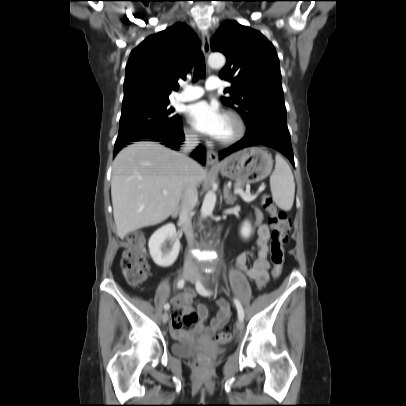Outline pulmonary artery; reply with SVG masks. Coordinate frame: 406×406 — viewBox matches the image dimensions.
<instances>
[{
  "mask_svg": "<svg viewBox=\"0 0 406 406\" xmlns=\"http://www.w3.org/2000/svg\"><path fill=\"white\" fill-rule=\"evenodd\" d=\"M206 89L216 90L221 88V81L218 77H210L205 84ZM204 94V89L200 86H188L181 93L176 95V100L180 102H190L199 99Z\"/></svg>",
  "mask_w": 406,
  "mask_h": 406,
  "instance_id": "obj_1",
  "label": "pulmonary artery"
}]
</instances>
